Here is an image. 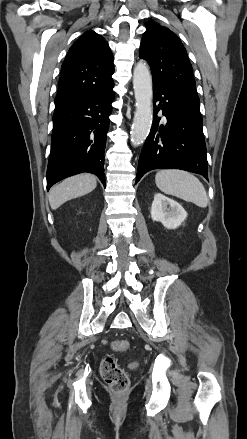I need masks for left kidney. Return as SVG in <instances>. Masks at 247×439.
I'll list each match as a JSON object with an SVG mask.
<instances>
[{
	"label": "left kidney",
	"instance_id": "obj_1",
	"mask_svg": "<svg viewBox=\"0 0 247 439\" xmlns=\"http://www.w3.org/2000/svg\"><path fill=\"white\" fill-rule=\"evenodd\" d=\"M151 218L167 229H176L187 218V212L178 202L157 193L151 206Z\"/></svg>",
	"mask_w": 247,
	"mask_h": 439
}]
</instances>
